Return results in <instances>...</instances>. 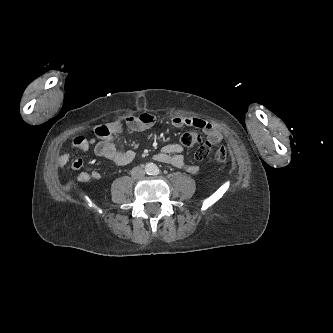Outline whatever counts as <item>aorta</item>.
I'll return each mask as SVG.
<instances>
[{
	"label": "aorta",
	"instance_id": "762f6f07",
	"mask_svg": "<svg viewBox=\"0 0 333 333\" xmlns=\"http://www.w3.org/2000/svg\"><path fill=\"white\" fill-rule=\"evenodd\" d=\"M155 168V165L153 163H148L146 165L147 172H151Z\"/></svg>",
	"mask_w": 333,
	"mask_h": 333
}]
</instances>
